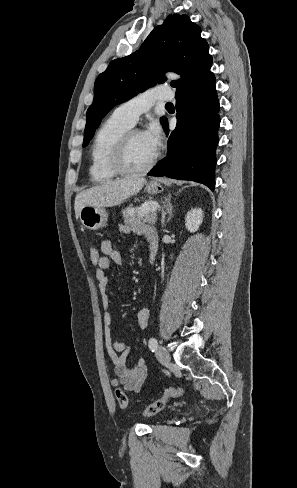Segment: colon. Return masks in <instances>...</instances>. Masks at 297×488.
Wrapping results in <instances>:
<instances>
[{
	"label": "colon",
	"mask_w": 297,
	"mask_h": 488,
	"mask_svg": "<svg viewBox=\"0 0 297 488\" xmlns=\"http://www.w3.org/2000/svg\"><path fill=\"white\" fill-rule=\"evenodd\" d=\"M100 258H101V254H100V251L96 248V247H91L90 249V260H91V263L93 265H97L99 264V261H100ZM183 394V390L181 388H167L165 389L164 393H163V396L156 400L155 402H153L152 404H150L145 410H144V416H153L157 413H159L160 411H162L168 400L170 398H178L180 396H182ZM115 397H116V400L118 402V405L121 409L125 410L127 408H129V398L127 396V394L125 393V391H123L122 389H117L115 391Z\"/></svg>",
	"instance_id": "5ec220e1"
}]
</instances>
